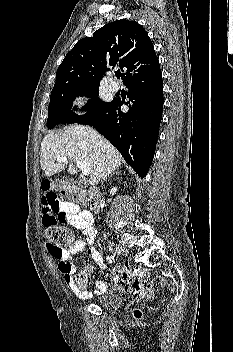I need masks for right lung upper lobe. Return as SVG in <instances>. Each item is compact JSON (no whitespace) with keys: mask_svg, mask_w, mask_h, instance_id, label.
Here are the masks:
<instances>
[{"mask_svg":"<svg viewBox=\"0 0 233 352\" xmlns=\"http://www.w3.org/2000/svg\"><path fill=\"white\" fill-rule=\"evenodd\" d=\"M116 64L127 68L124 84L160 69L148 33L135 21L111 22L79 40L60 64L54 87L100 85L107 67Z\"/></svg>","mask_w":233,"mask_h":352,"instance_id":"cb5924a9","label":"right lung upper lobe"}]
</instances>
